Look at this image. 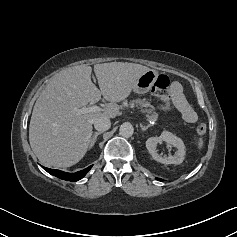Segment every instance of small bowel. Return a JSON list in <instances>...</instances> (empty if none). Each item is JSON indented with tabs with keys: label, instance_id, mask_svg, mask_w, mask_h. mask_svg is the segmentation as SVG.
Instances as JSON below:
<instances>
[{
	"label": "small bowel",
	"instance_id": "c3829d8e",
	"mask_svg": "<svg viewBox=\"0 0 237 237\" xmlns=\"http://www.w3.org/2000/svg\"><path fill=\"white\" fill-rule=\"evenodd\" d=\"M171 93L172 103L180 112L182 119L187 123H195L197 113L184 97L182 86L178 82L172 84Z\"/></svg>",
	"mask_w": 237,
	"mask_h": 237
}]
</instances>
